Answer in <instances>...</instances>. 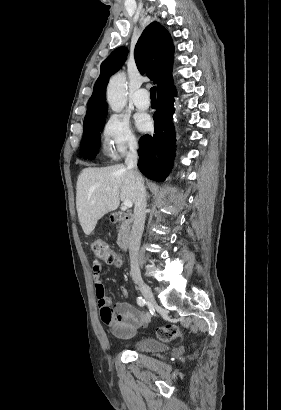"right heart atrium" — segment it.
Listing matches in <instances>:
<instances>
[{
    "label": "right heart atrium",
    "instance_id": "1",
    "mask_svg": "<svg viewBox=\"0 0 281 410\" xmlns=\"http://www.w3.org/2000/svg\"><path fill=\"white\" fill-rule=\"evenodd\" d=\"M101 142L103 153L110 158H119L138 145L129 121L120 114H112L106 119L101 131Z\"/></svg>",
    "mask_w": 281,
    "mask_h": 410
}]
</instances>
